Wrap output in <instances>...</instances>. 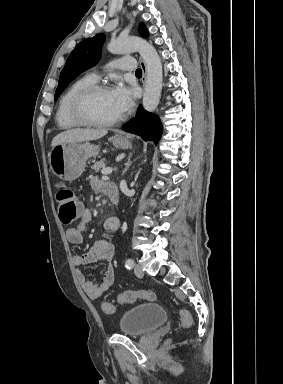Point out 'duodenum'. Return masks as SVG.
<instances>
[{
  "label": "duodenum",
  "mask_w": 283,
  "mask_h": 384,
  "mask_svg": "<svg viewBox=\"0 0 283 384\" xmlns=\"http://www.w3.org/2000/svg\"><path fill=\"white\" fill-rule=\"evenodd\" d=\"M103 193L110 199L114 206L119 205V193L115 184L106 183L104 185Z\"/></svg>",
  "instance_id": "duodenum-1"
}]
</instances>
